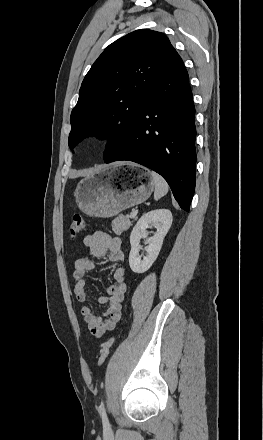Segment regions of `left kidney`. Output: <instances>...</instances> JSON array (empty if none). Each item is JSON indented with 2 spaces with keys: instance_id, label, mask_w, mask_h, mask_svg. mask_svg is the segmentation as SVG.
Listing matches in <instances>:
<instances>
[{
  "instance_id": "left-kidney-1",
  "label": "left kidney",
  "mask_w": 263,
  "mask_h": 440,
  "mask_svg": "<svg viewBox=\"0 0 263 440\" xmlns=\"http://www.w3.org/2000/svg\"><path fill=\"white\" fill-rule=\"evenodd\" d=\"M172 213L168 209H156L142 215L134 226L130 235L131 251L129 254V265L133 272L144 273L154 263L161 250L164 237L168 233L172 224ZM154 226L157 230L155 234L148 238L146 243L147 255L139 256L140 240L147 237V229Z\"/></svg>"
}]
</instances>
